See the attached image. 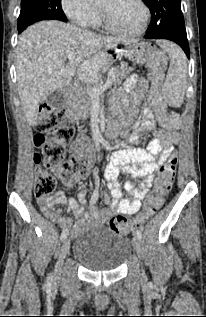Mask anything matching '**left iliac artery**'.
Wrapping results in <instances>:
<instances>
[{"instance_id": "obj_1", "label": "left iliac artery", "mask_w": 206, "mask_h": 317, "mask_svg": "<svg viewBox=\"0 0 206 317\" xmlns=\"http://www.w3.org/2000/svg\"><path fill=\"white\" fill-rule=\"evenodd\" d=\"M136 237H137L139 240L142 239V233H141L140 230H137V231H136Z\"/></svg>"}]
</instances>
